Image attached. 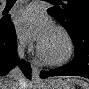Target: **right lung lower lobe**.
<instances>
[{"label":"right lung lower lobe","mask_w":89,"mask_h":89,"mask_svg":"<svg viewBox=\"0 0 89 89\" xmlns=\"http://www.w3.org/2000/svg\"><path fill=\"white\" fill-rule=\"evenodd\" d=\"M16 32L10 18L0 23V75H6L16 63ZM24 75L31 78V67L24 60L20 63Z\"/></svg>","instance_id":"right-lung-lower-lobe-1"}]
</instances>
